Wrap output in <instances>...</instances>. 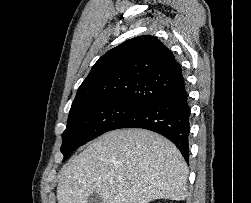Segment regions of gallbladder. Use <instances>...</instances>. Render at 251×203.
<instances>
[{"instance_id": "obj_1", "label": "gallbladder", "mask_w": 251, "mask_h": 203, "mask_svg": "<svg viewBox=\"0 0 251 203\" xmlns=\"http://www.w3.org/2000/svg\"><path fill=\"white\" fill-rule=\"evenodd\" d=\"M87 203H103V202L101 196L98 193L94 192L89 196Z\"/></svg>"}]
</instances>
